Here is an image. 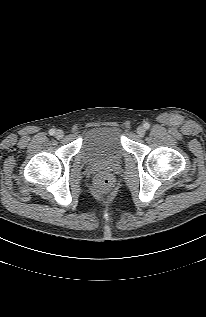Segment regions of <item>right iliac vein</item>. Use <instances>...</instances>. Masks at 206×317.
<instances>
[{
	"label": "right iliac vein",
	"instance_id": "obj_1",
	"mask_svg": "<svg viewBox=\"0 0 206 317\" xmlns=\"http://www.w3.org/2000/svg\"><path fill=\"white\" fill-rule=\"evenodd\" d=\"M63 136H64V132L62 130H60V129L56 130L55 137L57 139H61V138H63Z\"/></svg>",
	"mask_w": 206,
	"mask_h": 317
}]
</instances>
